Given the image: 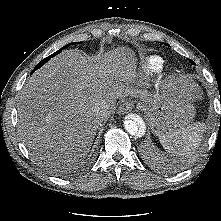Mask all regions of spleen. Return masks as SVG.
Segmentation results:
<instances>
[{
  "label": "spleen",
  "mask_w": 221,
  "mask_h": 221,
  "mask_svg": "<svg viewBox=\"0 0 221 221\" xmlns=\"http://www.w3.org/2000/svg\"><path fill=\"white\" fill-rule=\"evenodd\" d=\"M202 123H195L159 137L165 150L181 156L193 154L200 144Z\"/></svg>",
  "instance_id": "obj_1"
}]
</instances>
